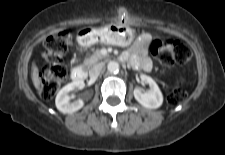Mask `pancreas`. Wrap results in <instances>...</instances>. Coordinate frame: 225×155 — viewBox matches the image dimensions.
Listing matches in <instances>:
<instances>
[{
    "label": "pancreas",
    "instance_id": "cf45deb5",
    "mask_svg": "<svg viewBox=\"0 0 225 155\" xmlns=\"http://www.w3.org/2000/svg\"><path fill=\"white\" fill-rule=\"evenodd\" d=\"M105 57L106 56L102 55L99 50H96L90 58L85 59L84 64L89 67L104 59Z\"/></svg>",
    "mask_w": 225,
    "mask_h": 155
}]
</instances>
